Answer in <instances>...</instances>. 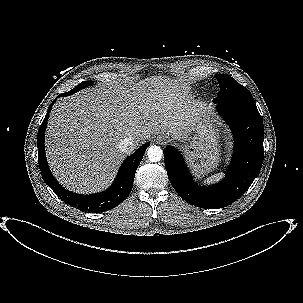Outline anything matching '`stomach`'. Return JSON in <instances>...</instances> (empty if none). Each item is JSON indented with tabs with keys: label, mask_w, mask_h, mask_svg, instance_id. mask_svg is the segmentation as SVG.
<instances>
[{
	"label": "stomach",
	"mask_w": 303,
	"mask_h": 303,
	"mask_svg": "<svg viewBox=\"0 0 303 303\" xmlns=\"http://www.w3.org/2000/svg\"><path fill=\"white\" fill-rule=\"evenodd\" d=\"M198 135L194 136L186 154L193 169L198 174H206L213 171L220 162V149L216 132L209 119L203 115L194 125Z\"/></svg>",
	"instance_id": "obj_1"
}]
</instances>
